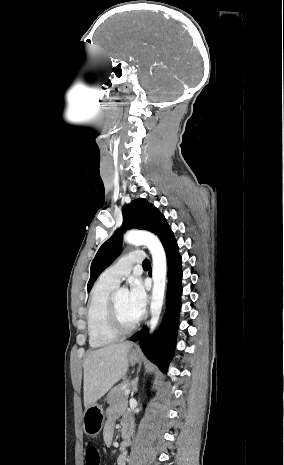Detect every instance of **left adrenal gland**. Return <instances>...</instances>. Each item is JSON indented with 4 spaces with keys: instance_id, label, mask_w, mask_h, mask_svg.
<instances>
[{
    "instance_id": "1",
    "label": "left adrenal gland",
    "mask_w": 284,
    "mask_h": 465,
    "mask_svg": "<svg viewBox=\"0 0 284 465\" xmlns=\"http://www.w3.org/2000/svg\"><path fill=\"white\" fill-rule=\"evenodd\" d=\"M138 385V377H136L135 381H131L130 387H132V395H134L135 391H137Z\"/></svg>"
}]
</instances>
